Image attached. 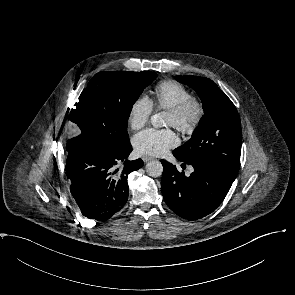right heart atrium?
I'll return each instance as SVG.
<instances>
[{
	"mask_svg": "<svg viewBox=\"0 0 295 295\" xmlns=\"http://www.w3.org/2000/svg\"><path fill=\"white\" fill-rule=\"evenodd\" d=\"M153 105L151 100L145 95H138L130 104L128 110V124L131 129L139 130L144 127L152 114Z\"/></svg>",
	"mask_w": 295,
	"mask_h": 295,
	"instance_id": "1",
	"label": "right heart atrium"
}]
</instances>
